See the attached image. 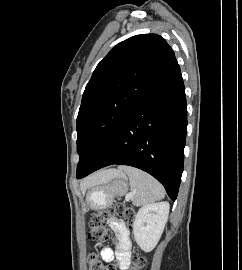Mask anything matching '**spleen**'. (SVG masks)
Wrapping results in <instances>:
<instances>
[{
	"instance_id": "obj_1",
	"label": "spleen",
	"mask_w": 242,
	"mask_h": 270,
	"mask_svg": "<svg viewBox=\"0 0 242 270\" xmlns=\"http://www.w3.org/2000/svg\"><path fill=\"white\" fill-rule=\"evenodd\" d=\"M128 178L130 187L133 190L131 197L136 206L148 205L164 198L163 186L148 173L134 167H122Z\"/></svg>"
}]
</instances>
